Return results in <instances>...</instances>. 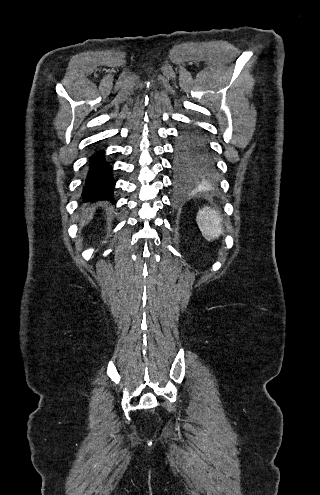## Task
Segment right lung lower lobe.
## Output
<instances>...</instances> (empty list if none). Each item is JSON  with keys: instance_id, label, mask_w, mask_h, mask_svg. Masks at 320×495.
I'll return each instance as SVG.
<instances>
[{"instance_id": "1", "label": "right lung lower lobe", "mask_w": 320, "mask_h": 495, "mask_svg": "<svg viewBox=\"0 0 320 495\" xmlns=\"http://www.w3.org/2000/svg\"><path fill=\"white\" fill-rule=\"evenodd\" d=\"M115 180L104 150H95L87 164L82 197L86 201L112 200Z\"/></svg>"}]
</instances>
